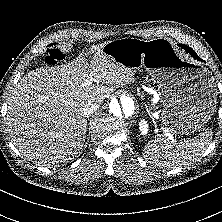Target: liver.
Returning a JSON list of instances; mask_svg holds the SVG:
<instances>
[{
    "label": "liver",
    "mask_w": 222,
    "mask_h": 222,
    "mask_svg": "<svg viewBox=\"0 0 222 222\" xmlns=\"http://www.w3.org/2000/svg\"><path fill=\"white\" fill-rule=\"evenodd\" d=\"M104 44L93 46L89 61L81 53L67 64L38 68L12 90L6 124L24 157L41 166L74 159L87 131L84 105L100 106L116 88L135 80L131 69L102 54Z\"/></svg>",
    "instance_id": "obj_1"
}]
</instances>
